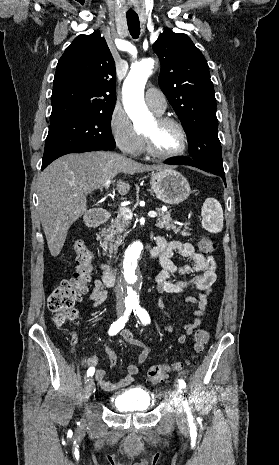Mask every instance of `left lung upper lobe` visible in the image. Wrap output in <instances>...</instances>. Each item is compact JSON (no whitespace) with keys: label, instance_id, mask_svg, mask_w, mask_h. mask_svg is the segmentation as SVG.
I'll list each match as a JSON object with an SVG mask.
<instances>
[{"label":"left lung upper lobe","instance_id":"5c2ea615","mask_svg":"<svg viewBox=\"0 0 279 465\" xmlns=\"http://www.w3.org/2000/svg\"><path fill=\"white\" fill-rule=\"evenodd\" d=\"M153 49L161 61L160 88L187 134L189 159L225 174L216 99L206 59L186 34L170 29L160 34Z\"/></svg>","mask_w":279,"mask_h":465}]
</instances>
